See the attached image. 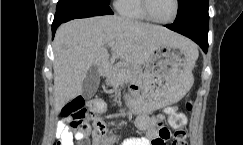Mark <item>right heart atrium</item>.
<instances>
[{
    "label": "right heart atrium",
    "mask_w": 243,
    "mask_h": 145,
    "mask_svg": "<svg viewBox=\"0 0 243 145\" xmlns=\"http://www.w3.org/2000/svg\"><path fill=\"white\" fill-rule=\"evenodd\" d=\"M114 1H115V3H117L118 0H114Z\"/></svg>",
    "instance_id": "1"
}]
</instances>
